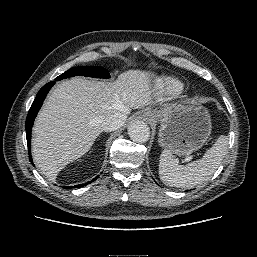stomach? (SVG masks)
Listing matches in <instances>:
<instances>
[{
  "mask_svg": "<svg viewBox=\"0 0 257 257\" xmlns=\"http://www.w3.org/2000/svg\"><path fill=\"white\" fill-rule=\"evenodd\" d=\"M155 113L161 123L159 145L175 155L183 156L199 150L210 136V115L201 105L172 106Z\"/></svg>",
  "mask_w": 257,
  "mask_h": 257,
  "instance_id": "stomach-1",
  "label": "stomach"
}]
</instances>
